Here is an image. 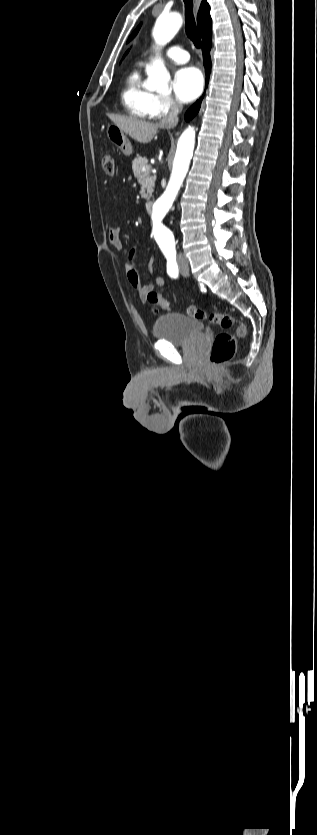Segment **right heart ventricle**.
Wrapping results in <instances>:
<instances>
[{
	"instance_id": "e07e8e85",
	"label": "right heart ventricle",
	"mask_w": 317,
	"mask_h": 835,
	"mask_svg": "<svg viewBox=\"0 0 317 835\" xmlns=\"http://www.w3.org/2000/svg\"><path fill=\"white\" fill-rule=\"evenodd\" d=\"M154 98L155 94L143 85L140 70L130 71L121 91V100L126 111L134 117L150 118Z\"/></svg>"
}]
</instances>
